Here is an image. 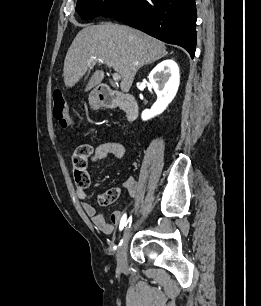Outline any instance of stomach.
Returning <instances> with one entry per match:
<instances>
[{"mask_svg":"<svg viewBox=\"0 0 261 306\" xmlns=\"http://www.w3.org/2000/svg\"><path fill=\"white\" fill-rule=\"evenodd\" d=\"M89 104L93 109H98L101 106V100L97 91H92L89 95Z\"/></svg>","mask_w":261,"mask_h":306,"instance_id":"stomach-1","label":"stomach"}]
</instances>
